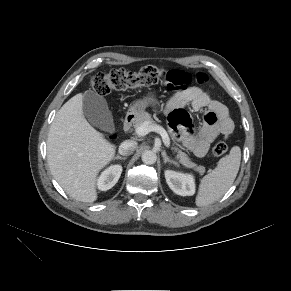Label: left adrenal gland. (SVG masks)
I'll list each match as a JSON object with an SVG mask.
<instances>
[{
  "mask_svg": "<svg viewBox=\"0 0 291 291\" xmlns=\"http://www.w3.org/2000/svg\"><path fill=\"white\" fill-rule=\"evenodd\" d=\"M162 157H163L164 163L169 162V163H171V164H174V165L178 166V162H176V161L173 160V159H170V158L167 156V154H166L165 151L162 152Z\"/></svg>",
  "mask_w": 291,
  "mask_h": 291,
  "instance_id": "left-adrenal-gland-1",
  "label": "left adrenal gland"
}]
</instances>
